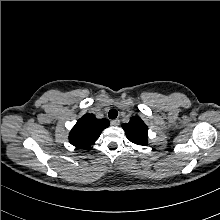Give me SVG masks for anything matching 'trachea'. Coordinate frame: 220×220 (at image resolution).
<instances>
[{"label": "trachea", "instance_id": "trachea-1", "mask_svg": "<svg viewBox=\"0 0 220 220\" xmlns=\"http://www.w3.org/2000/svg\"><path fill=\"white\" fill-rule=\"evenodd\" d=\"M118 116V111L116 109H111L108 113L110 119H115Z\"/></svg>", "mask_w": 220, "mask_h": 220}]
</instances>
